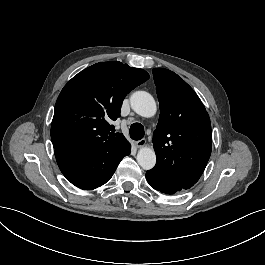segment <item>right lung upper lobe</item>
<instances>
[{
  "label": "right lung upper lobe",
  "instance_id": "cb5924a9",
  "mask_svg": "<svg viewBox=\"0 0 265 265\" xmlns=\"http://www.w3.org/2000/svg\"><path fill=\"white\" fill-rule=\"evenodd\" d=\"M149 74L119 61L94 64L74 76L62 89L51 125L54 149H99L126 141L110 133L120 117L125 96Z\"/></svg>",
  "mask_w": 265,
  "mask_h": 265
}]
</instances>
